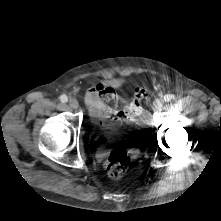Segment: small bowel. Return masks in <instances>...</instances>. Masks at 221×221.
<instances>
[{
    "label": "small bowel",
    "instance_id": "small-bowel-1",
    "mask_svg": "<svg viewBox=\"0 0 221 221\" xmlns=\"http://www.w3.org/2000/svg\"><path fill=\"white\" fill-rule=\"evenodd\" d=\"M106 98L110 102L106 101ZM85 101L93 118L101 124L123 125L132 122L136 114L130 105L117 107L118 97L114 90L107 85L97 84L91 86L85 95Z\"/></svg>",
    "mask_w": 221,
    "mask_h": 221
}]
</instances>
